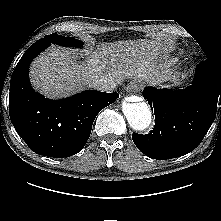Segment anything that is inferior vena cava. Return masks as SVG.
Wrapping results in <instances>:
<instances>
[{
	"label": "inferior vena cava",
	"instance_id": "1",
	"mask_svg": "<svg viewBox=\"0 0 221 221\" xmlns=\"http://www.w3.org/2000/svg\"><path fill=\"white\" fill-rule=\"evenodd\" d=\"M90 87L98 91H112L116 88V82L113 78L101 76L90 82Z\"/></svg>",
	"mask_w": 221,
	"mask_h": 221
}]
</instances>
